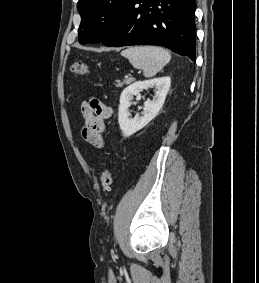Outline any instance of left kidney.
<instances>
[{
    "instance_id": "left-kidney-1",
    "label": "left kidney",
    "mask_w": 259,
    "mask_h": 283,
    "mask_svg": "<svg viewBox=\"0 0 259 283\" xmlns=\"http://www.w3.org/2000/svg\"><path fill=\"white\" fill-rule=\"evenodd\" d=\"M170 85V77H160L146 81L134 82L123 90L120 96L118 122L124 137H130L137 131L144 128L157 116L159 110L164 104ZM148 88H155L156 90L153 100H147L144 103L142 116L136 114L134 118H131L129 107L133 104V97L136 96V99L140 100V92Z\"/></svg>"
}]
</instances>
